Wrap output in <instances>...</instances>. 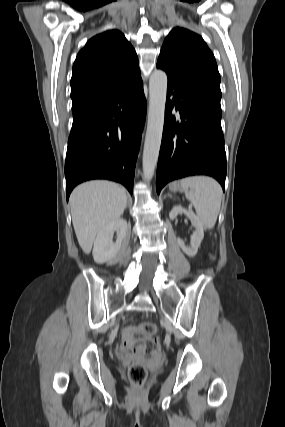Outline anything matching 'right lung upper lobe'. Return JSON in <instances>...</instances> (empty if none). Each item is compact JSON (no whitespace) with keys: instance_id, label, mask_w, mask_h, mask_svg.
Masks as SVG:
<instances>
[{"instance_id":"obj_1","label":"right lung upper lobe","mask_w":285,"mask_h":427,"mask_svg":"<svg viewBox=\"0 0 285 427\" xmlns=\"http://www.w3.org/2000/svg\"><path fill=\"white\" fill-rule=\"evenodd\" d=\"M140 76L138 57L118 30L91 38L72 69V109Z\"/></svg>"}]
</instances>
